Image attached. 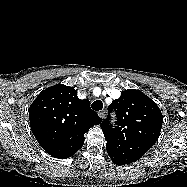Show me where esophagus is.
Masks as SVG:
<instances>
[{
    "label": "esophagus",
    "instance_id": "obj_1",
    "mask_svg": "<svg viewBox=\"0 0 187 187\" xmlns=\"http://www.w3.org/2000/svg\"><path fill=\"white\" fill-rule=\"evenodd\" d=\"M98 116L101 118V119H104L105 116H106V111L105 110H101L98 112Z\"/></svg>",
    "mask_w": 187,
    "mask_h": 187
}]
</instances>
